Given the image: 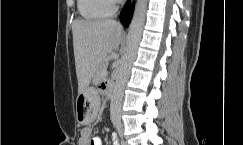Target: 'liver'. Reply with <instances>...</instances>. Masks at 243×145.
Here are the masks:
<instances>
[{"mask_svg": "<svg viewBox=\"0 0 243 145\" xmlns=\"http://www.w3.org/2000/svg\"><path fill=\"white\" fill-rule=\"evenodd\" d=\"M72 33L78 92L82 93L95 77L100 62L119 47L122 27L114 20L76 19Z\"/></svg>", "mask_w": 243, "mask_h": 145, "instance_id": "1", "label": "liver"}]
</instances>
